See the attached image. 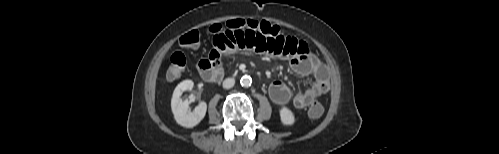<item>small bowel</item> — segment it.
<instances>
[{
  "label": "small bowel",
  "mask_w": 499,
  "mask_h": 154,
  "mask_svg": "<svg viewBox=\"0 0 499 154\" xmlns=\"http://www.w3.org/2000/svg\"><path fill=\"white\" fill-rule=\"evenodd\" d=\"M213 50L198 63V70L205 81L215 82L223 76L222 57L240 50L252 51L289 60L291 69L301 76H312L313 82L304 90L292 94L288 86L275 80L269 95L278 106L292 103L298 109L309 107L330 89L329 74L320 58L310 52L308 44L288 35L269 36L253 29H226L213 37Z\"/></svg>",
  "instance_id": "small-bowel-1"
}]
</instances>
